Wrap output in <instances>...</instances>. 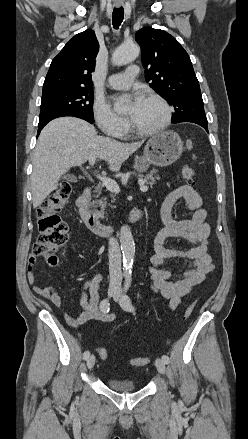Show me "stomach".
Instances as JSON below:
<instances>
[{
    "mask_svg": "<svg viewBox=\"0 0 248 439\" xmlns=\"http://www.w3.org/2000/svg\"><path fill=\"white\" fill-rule=\"evenodd\" d=\"M183 152V142L173 131L152 136L144 148L143 160L156 166H168L174 163ZM136 169H139L136 166Z\"/></svg>",
    "mask_w": 248,
    "mask_h": 439,
    "instance_id": "stomach-1",
    "label": "stomach"
}]
</instances>
